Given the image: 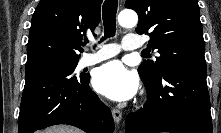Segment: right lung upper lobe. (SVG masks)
Masks as SVG:
<instances>
[{
    "label": "right lung upper lobe",
    "mask_w": 221,
    "mask_h": 133,
    "mask_svg": "<svg viewBox=\"0 0 221 133\" xmlns=\"http://www.w3.org/2000/svg\"><path fill=\"white\" fill-rule=\"evenodd\" d=\"M102 0H40L32 17L26 71L78 62L86 32L100 22Z\"/></svg>",
    "instance_id": "obj_1"
}]
</instances>
